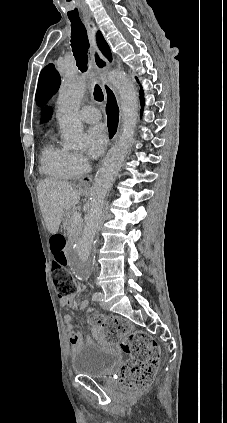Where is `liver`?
Masks as SVG:
<instances>
[{
  "mask_svg": "<svg viewBox=\"0 0 227 423\" xmlns=\"http://www.w3.org/2000/svg\"><path fill=\"white\" fill-rule=\"evenodd\" d=\"M83 190H73L68 182L42 180L37 186V196L42 217L50 233H57L67 211L75 208Z\"/></svg>",
  "mask_w": 227,
  "mask_h": 423,
  "instance_id": "liver-1",
  "label": "liver"
}]
</instances>
